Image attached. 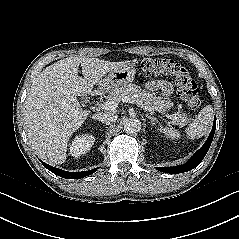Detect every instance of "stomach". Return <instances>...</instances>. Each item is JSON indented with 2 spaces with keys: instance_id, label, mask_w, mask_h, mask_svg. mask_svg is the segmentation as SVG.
<instances>
[{
  "instance_id": "obj_1",
  "label": "stomach",
  "mask_w": 239,
  "mask_h": 239,
  "mask_svg": "<svg viewBox=\"0 0 239 239\" xmlns=\"http://www.w3.org/2000/svg\"><path fill=\"white\" fill-rule=\"evenodd\" d=\"M136 69L133 63L125 62L121 66L114 68L99 83L101 89L109 91L112 88H118L133 81Z\"/></svg>"
}]
</instances>
